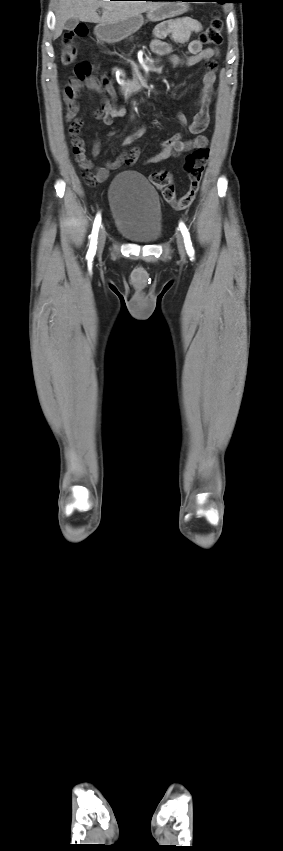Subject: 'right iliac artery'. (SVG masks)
<instances>
[{"label": "right iliac artery", "mask_w": 283, "mask_h": 851, "mask_svg": "<svg viewBox=\"0 0 283 851\" xmlns=\"http://www.w3.org/2000/svg\"><path fill=\"white\" fill-rule=\"evenodd\" d=\"M100 224H101V216H100V214H98L95 218L92 233L90 235L91 242H90V247H89V250H88V253H87V256L90 257V258H93V256L95 255V252H96L97 237H98V231H99Z\"/></svg>", "instance_id": "obj_1"}]
</instances>
